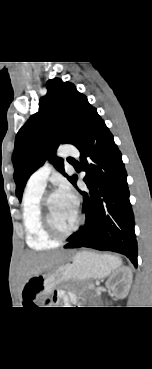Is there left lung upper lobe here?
<instances>
[{
    "mask_svg": "<svg viewBox=\"0 0 152 369\" xmlns=\"http://www.w3.org/2000/svg\"><path fill=\"white\" fill-rule=\"evenodd\" d=\"M95 111L74 84L59 78L48 80L47 94L40 99L39 112L28 119L15 140L12 160L16 195L20 201L30 175L55 153L61 143L76 145ZM52 164L67 176L61 158H54ZM75 177H68V180L72 183Z\"/></svg>",
    "mask_w": 152,
    "mask_h": 369,
    "instance_id": "left-lung-upper-lobe-1",
    "label": "left lung upper lobe"
}]
</instances>
